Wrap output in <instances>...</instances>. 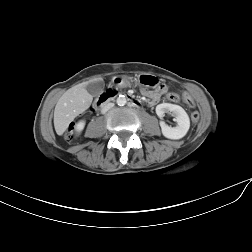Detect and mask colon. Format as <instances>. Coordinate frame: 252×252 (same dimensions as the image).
<instances>
[{
    "mask_svg": "<svg viewBox=\"0 0 252 252\" xmlns=\"http://www.w3.org/2000/svg\"><path fill=\"white\" fill-rule=\"evenodd\" d=\"M143 84L147 85V86H154L156 85V81L153 80L151 77H145L143 79ZM113 91H115L114 89H108L104 94H110ZM167 98L171 101H179L182 100V102L189 108H194V102L189 98V97H183L182 99L175 93H169L167 95ZM199 113L197 111H192L191 112V120L196 123L199 120ZM66 139L70 140L71 136L70 134L66 135Z\"/></svg>",
    "mask_w": 252,
    "mask_h": 252,
    "instance_id": "obj_1",
    "label": "colon"
}]
</instances>
